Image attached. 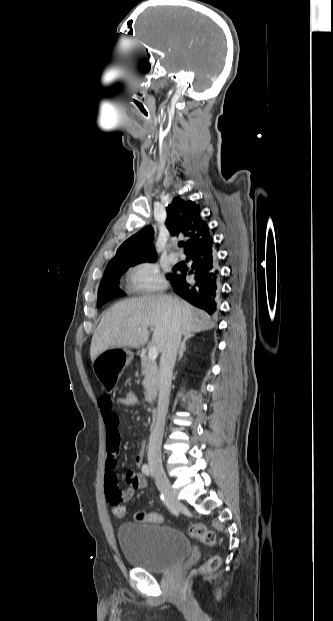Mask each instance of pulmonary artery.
<instances>
[{
  "label": "pulmonary artery",
  "instance_id": "pulmonary-artery-1",
  "mask_svg": "<svg viewBox=\"0 0 333 621\" xmlns=\"http://www.w3.org/2000/svg\"><path fill=\"white\" fill-rule=\"evenodd\" d=\"M168 258H169V260H170L172 263H177V262L179 261V255H178L177 253H174V252L170 253V254L168 255Z\"/></svg>",
  "mask_w": 333,
  "mask_h": 621
}]
</instances>
